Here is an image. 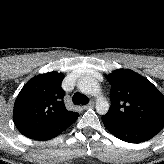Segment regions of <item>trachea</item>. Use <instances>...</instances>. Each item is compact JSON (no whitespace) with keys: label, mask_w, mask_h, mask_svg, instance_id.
<instances>
[{"label":"trachea","mask_w":164,"mask_h":164,"mask_svg":"<svg viewBox=\"0 0 164 164\" xmlns=\"http://www.w3.org/2000/svg\"><path fill=\"white\" fill-rule=\"evenodd\" d=\"M73 102L75 104H83L86 105L89 102V98L83 94L75 93L73 95Z\"/></svg>","instance_id":"trachea-1"}]
</instances>
